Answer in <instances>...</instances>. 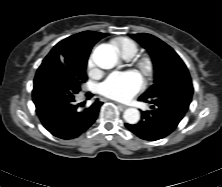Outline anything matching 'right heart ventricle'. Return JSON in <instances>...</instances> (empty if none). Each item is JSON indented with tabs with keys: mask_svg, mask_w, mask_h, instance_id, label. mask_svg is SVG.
<instances>
[{
	"mask_svg": "<svg viewBox=\"0 0 222 187\" xmlns=\"http://www.w3.org/2000/svg\"><path fill=\"white\" fill-rule=\"evenodd\" d=\"M116 45L119 48L124 58L130 59L134 57L138 51L137 45L131 40H127V39L118 40L116 42Z\"/></svg>",
	"mask_w": 222,
	"mask_h": 187,
	"instance_id": "e07e8e85",
	"label": "right heart ventricle"
}]
</instances>
